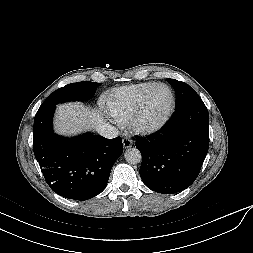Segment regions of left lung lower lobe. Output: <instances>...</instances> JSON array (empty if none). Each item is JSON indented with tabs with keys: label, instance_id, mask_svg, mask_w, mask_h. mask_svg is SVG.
I'll list each match as a JSON object with an SVG mask.
<instances>
[{
	"label": "left lung lower lobe",
	"instance_id": "0a47b994",
	"mask_svg": "<svg viewBox=\"0 0 253 253\" xmlns=\"http://www.w3.org/2000/svg\"><path fill=\"white\" fill-rule=\"evenodd\" d=\"M144 184L162 194L180 192L197 178L209 148V115L202 100L177 108L161 131L136 137Z\"/></svg>",
	"mask_w": 253,
	"mask_h": 253
}]
</instances>
